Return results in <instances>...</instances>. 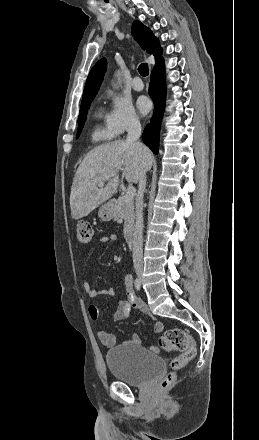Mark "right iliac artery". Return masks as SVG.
<instances>
[{
  "label": "right iliac artery",
  "mask_w": 259,
  "mask_h": 440,
  "mask_svg": "<svg viewBox=\"0 0 259 440\" xmlns=\"http://www.w3.org/2000/svg\"><path fill=\"white\" fill-rule=\"evenodd\" d=\"M134 285H135L136 290L139 291L140 288H141V283H140V281H139L138 278L135 279V281H134Z\"/></svg>",
  "instance_id": "right-iliac-artery-1"
}]
</instances>
